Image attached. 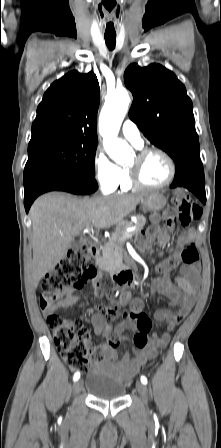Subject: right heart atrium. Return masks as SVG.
<instances>
[{
    "mask_svg": "<svg viewBox=\"0 0 221 448\" xmlns=\"http://www.w3.org/2000/svg\"><path fill=\"white\" fill-rule=\"evenodd\" d=\"M93 170L97 184L103 192L111 193L117 189L121 181L122 169L104 152H96Z\"/></svg>",
    "mask_w": 221,
    "mask_h": 448,
    "instance_id": "right-heart-atrium-1",
    "label": "right heart atrium"
}]
</instances>
